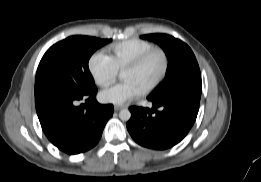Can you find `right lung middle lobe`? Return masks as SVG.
<instances>
[{
	"mask_svg": "<svg viewBox=\"0 0 261 182\" xmlns=\"http://www.w3.org/2000/svg\"><path fill=\"white\" fill-rule=\"evenodd\" d=\"M111 39L71 36L51 46L42 57L35 79V96L63 90L83 98L97 91L88 68L91 55Z\"/></svg>",
	"mask_w": 261,
	"mask_h": 182,
	"instance_id": "obj_1",
	"label": "right lung middle lobe"
}]
</instances>
